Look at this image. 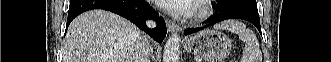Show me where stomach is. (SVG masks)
<instances>
[{"mask_svg": "<svg viewBox=\"0 0 331 62\" xmlns=\"http://www.w3.org/2000/svg\"><path fill=\"white\" fill-rule=\"evenodd\" d=\"M185 48L205 60V62H222L230 53L232 44L222 32L204 30L190 37Z\"/></svg>", "mask_w": 331, "mask_h": 62, "instance_id": "stomach-1", "label": "stomach"}]
</instances>
